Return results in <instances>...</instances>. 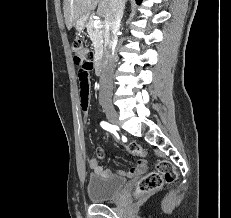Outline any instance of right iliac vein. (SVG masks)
Instances as JSON below:
<instances>
[{
    "mask_svg": "<svg viewBox=\"0 0 231 218\" xmlns=\"http://www.w3.org/2000/svg\"><path fill=\"white\" fill-rule=\"evenodd\" d=\"M103 111L105 112V114H106V116L110 122L115 123V124L118 123V114L112 105H110V104L105 105L103 107Z\"/></svg>",
    "mask_w": 231,
    "mask_h": 218,
    "instance_id": "63e3f726",
    "label": "right iliac vein"
}]
</instances>
